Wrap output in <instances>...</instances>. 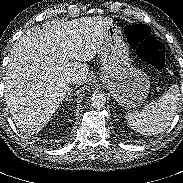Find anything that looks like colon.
<instances>
[{"label": "colon", "instance_id": "obj_1", "mask_svg": "<svg viewBox=\"0 0 183 183\" xmlns=\"http://www.w3.org/2000/svg\"><path fill=\"white\" fill-rule=\"evenodd\" d=\"M124 32L128 42L136 50L141 60L158 70L164 66L165 47L151 34L147 25L130 24L125 27Z\"/></svg>", "mask_w": 183, "mask_h": 183}]
</instances>
